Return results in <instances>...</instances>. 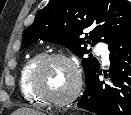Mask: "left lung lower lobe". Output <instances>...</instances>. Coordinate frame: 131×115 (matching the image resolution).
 Returning <instances> with one entry per match:
<instances>
[{
  "mask_svg": "<svg viewBox=\"0 0 131 115\" xmlns=\"http://www.w3.org/2000/svg\"><path fill=\"white\" fill-rule=\"evenodd\" d=\"M109 51L108 81L99 80V68L77 106L97 115H131V25L113 39Z\"/></svg>",
  "mask_w": 131,
  "mask_h": 115,
  "instance_id": "obj_1",
  "label": "left lung lower lobe"
}]
</instances>
